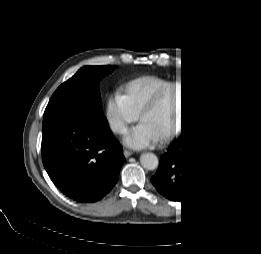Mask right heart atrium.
<instances>
[{
    "mask_svg": "<svg viewBox=\"0 0 261 254\" xmlns=\"http://www.w3.org/2000/svg\"><path fill=\"white\" fill-rule=\"evenodd\" d=\"M106 114L109 126L116 134L124 133L128 126L138 118V113L123 93H116L109 99Z\"/></svg>",
    "mask_w": 261,
    "mask_h": 254,
    "instance_id": "obj_1",
    "label": "right heart atrium"
}]
</instances>
